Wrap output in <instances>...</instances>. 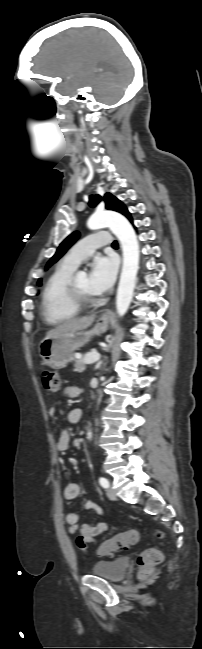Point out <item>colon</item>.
<instances>
[{"mask_svg":"<svg viewBox=\"0 0 202 649\" xmlns=\"http://www.w3.org/2000/svg\"><path fill=\"white\" fill-rule=\"evenodd\" d=\"M41 382L46 391L57 392L61 387L59 374L53 370H43L41 373ZM158 537H163L162 532H157ZM138 533L135 530H128L113 536L104 542L100 551L104 555H110L114 551L126 549L129 545L137 541ZM163 555L158 548H148L140 553L137 558V564L143 575L153 572L162 562Z\"/></svg>","mask_w":202,"mask_h":649,"instance_id":"5ec220e1","label":"colon"}]
</instances>
